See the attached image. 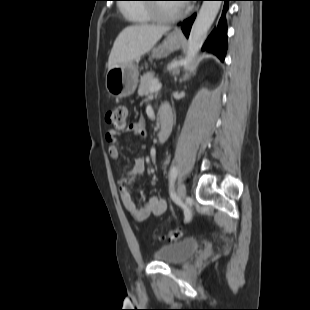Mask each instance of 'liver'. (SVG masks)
Masks as SVG:
<instances>
[{
    "mask_svg": "<svg viewBox=\"0 0 310 310\" xmlns=\"http://www.w3.org/2000/svg\"><path fill=\"white\" fill-rule=\"evenodd\" d=\"M169 30L168 26L156 25L126 27L113 44L108 58V69L137 61L148 53Z\"/></svg>",
    "mask_w": 310,
    "mask_h": 310,
    "instance_id": "liver-1",
    "label": "liver"
}]
</instances>
